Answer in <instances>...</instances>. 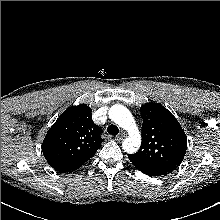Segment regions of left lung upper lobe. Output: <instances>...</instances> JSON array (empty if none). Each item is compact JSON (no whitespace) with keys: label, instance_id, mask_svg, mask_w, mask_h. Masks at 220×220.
Here are the masks:
<instances>
[{"label":"left lung upper lobe","instance_id":"1","mask_svg":"<svg viewBox=\"0 0 220 220\" xmlns=\"http://www.w3.org/2000/svg\"><path fill=\"white\" fill-rule=\"evenodd\" d=\"M142 144L130 154L138 161L166 175L182 162L187 150V137L177 119L161 104L148 103L140 108Z\"/></svg>","mask_w":220,"mask_h":220}]
</instances>
